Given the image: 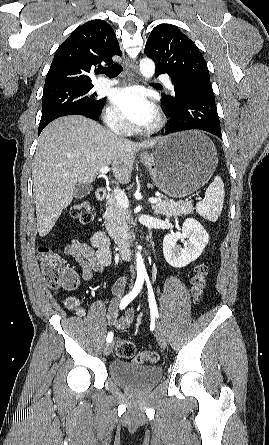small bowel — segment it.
<instances>
[{
    "instance_id": "c3829d8e",
    "label": "small bowel",
    "mask_w": 269,
    "mask_h": 445,
    "mask_svg": "<svg viewBox=\"0 0 269 445\" xmlns=\"http://www.w3.org/2000/svg\"><path fill=\"white\" fill-rule=\"evenodd\" d=\"M59 253L73 258L79 264L82 270V278L85 282H91L97 274L102 273L110 265L112 259L108 238L101 231H97L92 235L90 243L74 239L59 250ZM66 271L73 276L76 282L78 281V276L72 269L66 267ZM126 284L127 279L125 277L119 278L114 283L112 288L113 296L107 313L108 323L118 329L130 327L135 314L134 309L130 308L124 316L118 317L120 297ZM64 304L68 310L74 312L77 316H85L86 310L81 306L77 298L66 297Z\"/></svg>"
}]
</instances>
